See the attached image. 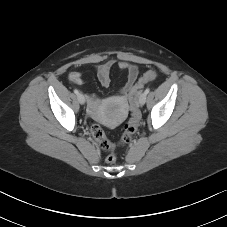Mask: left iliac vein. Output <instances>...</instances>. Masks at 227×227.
<instances>
[{
	"mask_svg": "<svg viewBox=\"0 0 227 227\" xmlns=\"http://www.w3.org/2000/svg\"><path fill=\"white\" fill-rule=\"evenodd\" d=\"M139 104L142 106L145 104L146 102V94L145 93H142L140 96H139V100H138Z\"/></svg>",
	"mask_w": 227,
	"mask_h": 227,
	"instance_id": "1",
	"label": "left iliac vein"
}]
</instances>
